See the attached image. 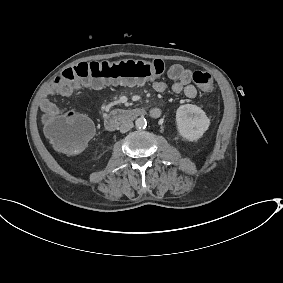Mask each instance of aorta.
Returning <instances> with one entry per match:
<instances>
[{
	"label": "aorta",
	"instance_id": "aorta-1",
	"mask_svg": "<svg viewBox=\"0 0 283 283\" xmlns=\"http://www.w3.org/2000/svg\"><path fill=\"white\" fill-rule=\"evenodd\" d=\"M135 126L138 129H144L147 126V121L144 117L137 118L135 121Z\"/></svg>",
	"mask_w": 283,
	"mask_h": 283
}]
</instances>
